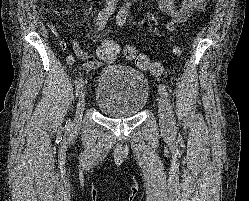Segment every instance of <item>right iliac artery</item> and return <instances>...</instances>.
<instances>
[{"label": "right iliac artery", "mask_w": 249, "mask_h": 201, "mask_svg": "<svg viewBox=\"0 0 249 201\" xmlns=\"http://www.w3.org/2000/svg\"><path fill=\"white\" fill-rule=\"evenodd\" d=\"M115 10V5L114 4H110L108 6H106L98 15L97 18V25H98V29L99 30H103L105 27V24L108 21V18L112 15V13ZM84 88V80L81 78L77 81L76 83V96H79L80 93L82 92ZM72 126V122L69 120L68 122H66L65 128L66 130H69L70 127Z\"/></svg>", "instance_id": "right-iliac-artery-1"}]
</instances>
